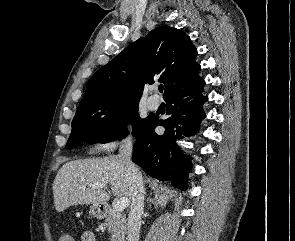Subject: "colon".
<instances>
[{"label": "colon", "mask_w": 295, "mask_h": 241, "mask_svg": "<svg viewBox=\"0 0 295 241\" xmlns=\"http://www.w3.org/2000/svg\"><path fill=\"white\" fill-rule=\"evenodd\" d=\"M62 237H63V241H74L72 237L67 233L63 234Z\"/></svg>", "instance_id": "obj_1"}]
</instances>
